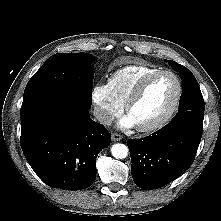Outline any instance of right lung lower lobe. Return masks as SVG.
I'll list each match as a JSON object with an SVG mask.
<instances>
[{"label":"right lung lower lobe","mask_w":221,"mask_h":221,"mask_svg":"<svg viewBox=\"0 0 221 221\" xmlns=\"http://www.w3.org/2000/svg\"><path fill=\"white\" fill-rule=\"evenodd\" d=\"M89 108L56 99L21 118V147L34 172L50 187L88 188L96 179L98 153L111 142Z\"/></svg>","instance_id":"1"}]
</instances>
